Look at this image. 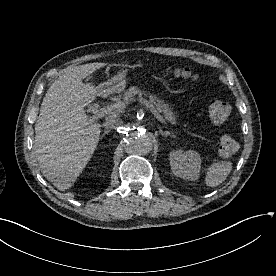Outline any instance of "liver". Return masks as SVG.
<instances>
[{
    "label": "liver",
    "mask_w": 276,
    "mask_h": 276,
    "mask_svg": "<svg viewBox=\"0 0 276 276\" xmlns=\"http://www.w3.org/2000/svg\"><path fill=\"white\" fill-rule=\"evenodd\" d=\"M106 63L68 69L47 90L35 124V155L44 177L60 191L73 186L91 159L100 137V125L85 113L99 95L82 79Z\"/></svg>",
    "instance_id": "liver-1"
}]
</instances>
